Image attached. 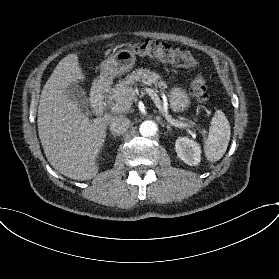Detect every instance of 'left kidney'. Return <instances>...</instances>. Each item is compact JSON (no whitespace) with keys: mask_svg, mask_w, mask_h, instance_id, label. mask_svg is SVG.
Segmentation results:
<instances>
[{"mask_svg":"<svg viewBox=\"0 0 279 279\" xmlns=\"http://www.w3.org/2000/svg\"><path fill=\"white\" fill-rule=\"evenodd\" d=\"M175 150L178 157L188 165L196 166L201 161L200 145L188 137H179L175 142Z\"/></svg>","mask_w":279,"mask_h":279,"instance_id":"1","label":"left kidney"}]
</instances>
